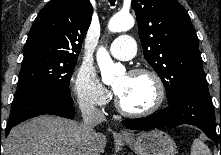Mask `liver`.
Masks as SVG:
<instances>
[{"instance_id": "6515ba94", "label": "liver", "mask_w": 221, "mask_h": 155, "mask_svg": "<svg viewBox=\"0 0 221 155\" xmlns=\"http://www.w3.org/2000/svg\"><path fill=\"white\" fill-rule=\"evenodd\" d=\"M86 134L84 123L43 115L13 128L4 141L3 155H83ZM96 155L106 146V137L94 141Z\"/></svg>"}]
</instances>
